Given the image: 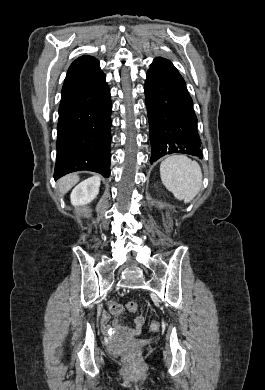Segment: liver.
<instances>
[{
  "mask_svg": "<svg viewBox=\"0 0 265 390\" xmlns=\"http://www.w3.org/2000/svg\"><path fill=\"white\" fill-rule=\"evenodd\" d=\"M78 181H79V176L77 174H70L62 177L58 181V187L60 192L63 195L66 194Z\"/></svg>",
  "mask_w": 265,
  "mask_h": 390,
  "instance_id": "liver-1",
  "label": "liver"
}]
</instances>
